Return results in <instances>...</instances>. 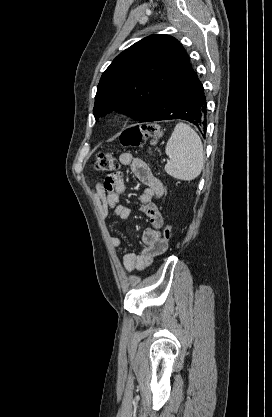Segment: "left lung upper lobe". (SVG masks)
<instances>
[{"label": "left lung upper lobe", "mask_w": 272, "mask_h": 417, "mask_svg": "<svg viewBox=\"0 0 272 417\" xmlns=\"http://www.w3.org/2000/svg\"><path fill=\"white\" fill-rule=\"evenodd\" d=\"M189 63L186 51L171 36L155 34L136 42L102 74L95 118L114 110L141 122Z\"/></svg>", "instance_id": "obj_1"}]
</instances>
